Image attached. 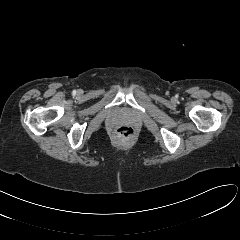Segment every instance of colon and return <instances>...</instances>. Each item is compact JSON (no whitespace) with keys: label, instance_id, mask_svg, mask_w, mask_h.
Returning a JSON list of instances; mask_svg holds the SVG:
<instances>
[{"label":"colon","instance_id":"colon-1","mask_svg":"<svg viewBox=\"0 0 240 240\" xmlns=\"http://www.w3.org/2000/svg\"><path fill=\"white\" fill-rule=\"evenodd\" d=\"M116 132L123 138H130L134 134V129L130 126H120L117 128Z\"/></svg>","mask_w":240,"mask_h":240}]
</instances>
